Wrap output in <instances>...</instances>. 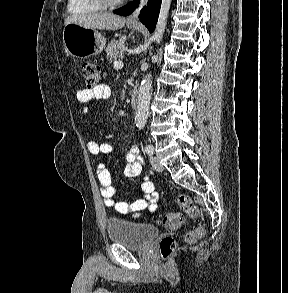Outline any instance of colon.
Here are the masks:
<instances>
[{"mask_svg":"<svg viewBox=\"0 0 288 293\" xmlns=\"http://www.w3.org/2000/svg\"><path fill=\"white\" fill-rule=\"evenodd\" d=\"M82 74L88 89H93L99 85L100 68L94 62H84L82 65ZM177 202L182 211L188 216L197 217L199 215V210L191 197L183 194L179 195ZM183 221L184 217L182 213L171 211L165 214L161 223L167 229H176L183 224ZM202 235L203 229L195 228L185 234L184 240L185 242L192 244L199 240ZM175 248L176 242L172 237L165 236L162 238L160 242V251L164 258L169 257L174 252Z\"/></svg>","mask_w":288,"mask_h":293,"instance_id":"1","label":"colon"}]
</instances>
